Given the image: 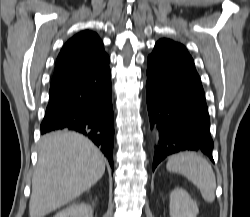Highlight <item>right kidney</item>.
I'll list each match as a JSON object with an SVG mask.
<instances>
[{"instance_id":"obj_1","label":"right kidney","mask_w":250,"mask_h":217,"mask_svg":"<svg viewBox=\"0 0 250 217\" xmlns=\"http://www.w3.org/2000/svg\"><path fill=\"white\" fill-rule=\"evenodd\" d=\"M54 217H93V209L89 204L76 203L61 210Z\"/></svg>"}]
</instances>
